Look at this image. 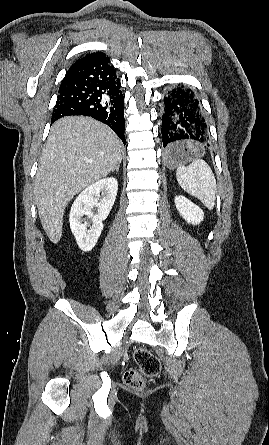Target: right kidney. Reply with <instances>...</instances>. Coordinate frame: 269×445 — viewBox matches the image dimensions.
Returning <instances> with one entry per match:
<instances>
[{
    "label": "right kidney",
    "mask_w": 269,
    "mask_h": 445,
    "mask_svg": "<svg viewBox=\"0 0 269 445\" xmlns=\"http://www.w3.org/2000/svg\"><path fill=\"white\" fill-rule=\"evenodd\" d=\"M118 182L113 177L101 179L85 188L75 199L69 215L70 228L79 248L91 251L96 245L103 229V221L108 217L115 202ZM104 198L98 202L100 194ZM98 207V214L93 215L91 209ZM92 218V227L87 229L82 217Z\"/></svg>",
    "instance_id": "1"
}]
</instances>
